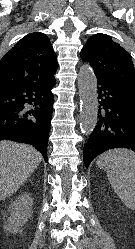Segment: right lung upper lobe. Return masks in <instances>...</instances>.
Returning a JSON list of instances; mask_svg holds the SVG:
<instances>
[{
    "mask_svg": "<svg viewBox=\"0 0 135 249\" xmlns=\"http://www.w3.org/2000/svg\"><path fill=\"white\" fill-rule=\"evenodd\" d=\"M57 68V57L48 37L41 32L30 33L2 57L0 88L50 81Z\"/></svg>",
    "mask_w": 135,
    "mask_h": 249,
    "instance_id": "right-lung-upper-lobe-1",
    "label": "right lung upper lobe"
}]
</instances>
